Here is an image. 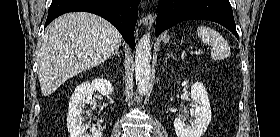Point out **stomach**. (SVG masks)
Wrapping results in <instances>:
<instances>
[{"mask_svg": "<svg viewBox=\"0 0 280 137\" xmlns=\"http://www.w3.org/2000/svg\"><path fill=\"white\" fill-rule=\"evenodd\" d=\"M169 39H170V37H169V36H166V37H165V40H166V41H168Z\"/></svg>", "mask_w": 280, "mask_h": 137, "instance_id": "0dacf381", "label": "stomach"}]
</instances>
